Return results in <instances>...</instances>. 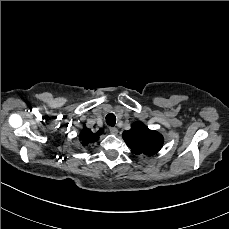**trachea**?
Returning a JSON list of instances; mask_svg holds the SVG:
<instances>
[{"label":"trachea","instance_id":"trachea-1","mask_svg":"<svg viewBox=\"0 0 229 229\" xmlns=\"http://www.w3.org/2000/svg\"><path fill=\"white\" fill-rule=\"evenodd\" d=\"M106 123L111 127L115 126V124H116V116L113 113L107 114Z\"/></svg>","mask_w":229,"mask_h":229}]
</instances>
